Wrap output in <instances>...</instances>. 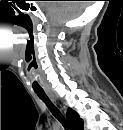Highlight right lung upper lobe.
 I'll list each match as a JSON object with an SVG mask.
<instances>
[{"mask_svg": "<svg viewBox=\"0 0 123 130\" xmlns=\"http://www.w3.org/2000/svg\"><path fill=\"white\" fill-rule=\"evenodd\" d=\"M67 118L75 130H83V121L77 112L69 108Z\"/></svg>", "mask_w": 123, "mask_h": 130, "instance_id": "obj_1", "label": "right lung upper lobe"}]
</instances>
